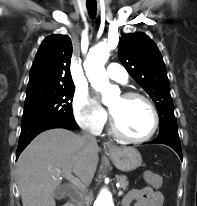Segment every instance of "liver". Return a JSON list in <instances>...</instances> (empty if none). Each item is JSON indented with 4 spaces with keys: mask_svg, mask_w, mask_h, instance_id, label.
Listing matches in <instances>:
<instances>
[{
    "mask_svg": "<svg viewBox=\"0 0 197 206\" xmlns=\"http://www.w3.org/2000/svg\"><path fill=\"white\" fill-rule=\"evenodd\" d=\"M98 145L66 129L40 133L22 152L17 162V184L23 206H55L54 191L60 177L74 173L88 186L98 164Z\"/></svg>",
    "mask_w": 197,
    "mask_h": 206,
    "instance_id": "6515ba94",
    "label": "liver"
}]
</instances>
